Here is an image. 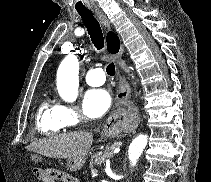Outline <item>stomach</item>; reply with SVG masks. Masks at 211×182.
<instances>
[{
    "label": "stomach",
    "instance_id": "0dacf381",
    "mask_svg": "<svg viewBox=\"0 0 211 182\" xmlns=\"http://www.w3.org/2000/svg\"><path fill=\"white\" fill-rule=\"evenodd\" d=\"M117 134L115 130H108L103 133V137H114ZM86 156L73 157L68 159L67 168L69 171L75 172L80 170L85 164Z\"/></svg>",
    "mask_w": 211,
    "mask_h": 182
}]
</instances>
